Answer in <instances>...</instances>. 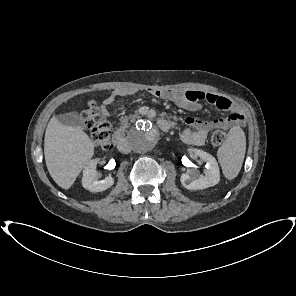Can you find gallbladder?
I'll use <instances>...</instances> for the list:
<instances>
[{
    "label": "gallbladder",
    "instance_id": "bac80fb5",
    "mask_svg": "<svg viewBox=\"0 0 296 296\" xmlns=\"http://www.w3.org/2000/svg\"><path fill=\"white\" fill-rule=\"evenodd\" d=\"M58 121L65 125V126H71V127H82L83 122L80 118V116L76 112H70V113H64L59 114L57 116Z\"/></svg>",
    "mask_w": 296,
    "mask_h": 296
}]
</instances>
